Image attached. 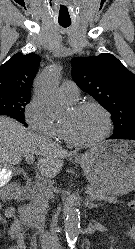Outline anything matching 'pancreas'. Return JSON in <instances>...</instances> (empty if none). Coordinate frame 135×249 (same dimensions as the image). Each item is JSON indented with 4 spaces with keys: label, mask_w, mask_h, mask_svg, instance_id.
I'll use <instances>...</instances> for the list:
<instances>
[{
    "label": "pancreas",
    "mask_w": 135,
    "mask_h": 249,
    "mask_svg": "<svg viewBox=\"0 0 135 249\" xmlns=\"http://www.w3.org/2000/svg\"><path fill=\"white\" fill-rule=\"evenodd\" d=\"M87 193L92 199L105 200L113 204L119 202L116 197L107 196L106 194L93 188H89ZM52 197L53 193L49 188L48 191L39 192L30 204L21 209L22 220L27 223L31 221L37 222L38 217L46 213L48 199Z\"/></svg>",
    "instance_id": "obj_1"
}]
</instances>
